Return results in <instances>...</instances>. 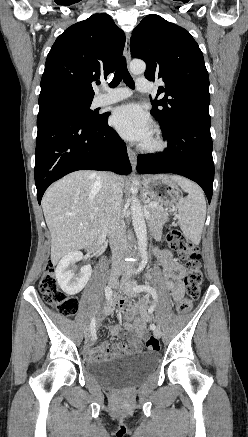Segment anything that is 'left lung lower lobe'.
Listing matches in <instances>:
<instances>
[{"label":"left lung lower lobe","mask_w":248,"mask_h":437,"mask_svg":"<svg viewBox=\"0 0 248 437\" xmlns=\"http://www.w3.org/2000/svg\"><path fill=\"white\" fill-rule=\"evenodd\" d=\"M211 118L196 115L180 118L168 131H162L168 147L159 154L138 156L140 174L174 173L198 183L210 203L213 192Z\"/></svg>","instance_id":"obj_1"}]
</instances>
